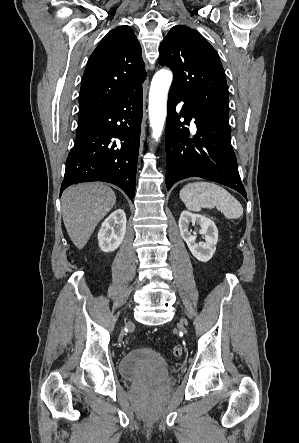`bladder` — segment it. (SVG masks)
Returning a JSON list of instances; mask_svg holds the SVG:
<instances>
[{"instance_id":"obj_1","label":"bladder","mask_w":299,"mask_h":443,"mask_svg":"<svg viewBox=\"0 0 299 443\" xmlns=\"http://www.w3.org/2000/svg\"><path fill=\"white\" fill-rule=\"evenodd\" d=\"M119 372L124 378L143 379L151 383L165 382L170 376V369L164 358L146 347L127 352L120 359Z\"/></svg>"}]
</instances>
